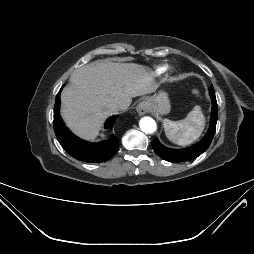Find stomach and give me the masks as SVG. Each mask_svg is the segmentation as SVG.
<instances>
[{"label": "stomach", "mask_w": 254, "mask_h": 254, "mask_svg": "<svg viewBox=\"0 0 254 254\" xmlns=\"http://www.w3.org/2000/svg\"><path fill=\"white\" fill-rule=\"evenodd\" d=\"M149 108L155 114L165 115L170 112L171 106L168 98V94L164 91H160L148 99Z\"/></svg>", "instance_id": "stomach-1"}]
</instances>
